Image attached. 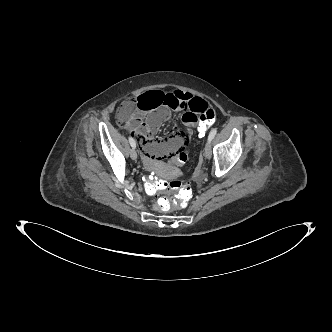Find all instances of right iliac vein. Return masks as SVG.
<instances>
[{
	"label": "right iliac vein",
	"mask_w": 332,
	"mask_h": 332,
	"mask_svg": "<svg viewBox=\"0 0 332 332\" xmlns=\"http://www.w3.org/2000/svg\"><path fill=\"white\" fill-rule=\"evenodd\" d=\"M130 157H131V159H133V160H136L137 159V152H136V150L133 148L132 150H131V152H130Z\"/></svg>",
	"instance_id": "right-iliac-vein-1"
}]
</instances>
